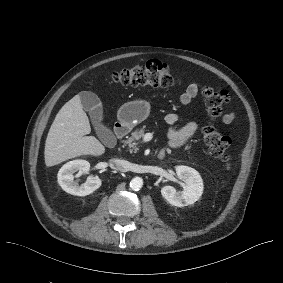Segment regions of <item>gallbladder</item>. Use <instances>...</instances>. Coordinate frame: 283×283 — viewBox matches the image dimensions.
<instances>
[{
	"label": "gallbladder",
	"mask_w": 283,
	"mask_h": 283,
	"mask_svg": "<svg viewBox=\"0 0 283 283\" xmlns=\"http://www.w3.org/2000/svg\"><path fill=\"white\" fill-rule=\"evenodd\" d=\"M79 95L83 109L89 113L98 138L106 146L114 147L117 143L115 135L101 123L103 119V107L99 97L90 91H82Z\"/></svg>",
	"instance_id": "obj_1"
}]
</instances>
